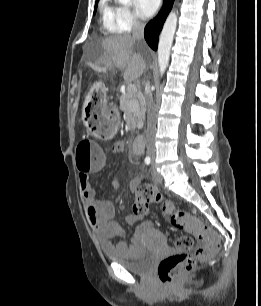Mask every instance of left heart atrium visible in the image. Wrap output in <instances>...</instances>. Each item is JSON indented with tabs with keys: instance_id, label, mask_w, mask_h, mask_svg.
I'll use <instances>...</instances> for the list:
<instances>
[{
	"instance_id": "1",
	"label": "left heart atrium",
	"mask_w": 261,
	"mask_h": 306,
	"mask_svg": "<svg viewBox=\"0 0 261 306\" xmlns=\"http://www.w3.org/2000/svg\"><path fill=\"white\" fill-rule=\"evenodd\" d=\"M161 0H134L136 13L141 18L151 17L158 9Z\"/></svg>"
}]
</instances>
